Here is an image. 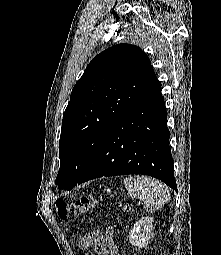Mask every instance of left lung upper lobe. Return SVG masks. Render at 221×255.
Returning a JSON list of instances; mask_svg holds the SVG:
<instances>
[{"mask_svg": "<svg viewBox=\"0 0 221 255\" xmlns=\"http://www.w3.org/2000/svg\"><path fill=\"white\" fill-rule=\"evenodd\" d=\"M157 83L149 58L137 46L118 44L92 59L63 114L60 188L77 184L114 123Z\"/></svg>", "mask_w": 221, "mask_h": 255, "instance_id": "obj_1", "label": "left lung upper lobe"}]
</instances>
